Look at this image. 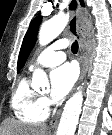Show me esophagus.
Returning a JSON list of instances; mask_svg holds the SVG:
<instances>
[{
  "mask_svg": "<svg viewBox=\"0 0 112 135\" xmlns=\"http://www.w3.org/2000/svg\"><path fill=\"white\" fill-rule=\"evenodd\" d=\"M68 11L71 15L69 22L70 31L79 41V60L81 65L79 82H81L84 79L89 65L90 54L92 50V33L85 17L82 14V8L78 0H70ZM60 114L61 111H59L50 122V126L52 128L57 127Z\"/></svg>",
  "mask_w": 112,
  "mask_h": 135,
  "instance_id": "1",
  "label": "esophagus"
}]
</instances>
